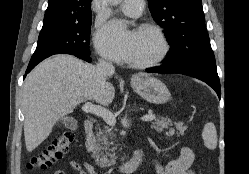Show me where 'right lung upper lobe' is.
I'll return each mask as SVG.
<instances>
[{
	"instance_id": "right-lung-upper-lobe-1",
	"label": "right lung upper lobe",
	"mask_w": 249,
	"mask_h": 174,
	"mask_svg": "<svg viewBox=\"0 0 249 174\" xmlns=\"http://www.w3.org/2000/svg\"><path fill=\"white\" fill-rule=\"evenodd\" d=\"M91 2L92 0H48L42 29L89 19L92 17Z\"/></svg>"
}]
</instances>
